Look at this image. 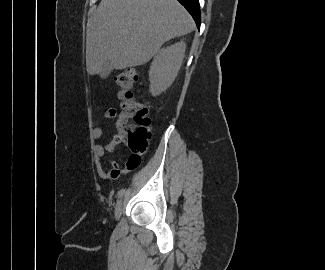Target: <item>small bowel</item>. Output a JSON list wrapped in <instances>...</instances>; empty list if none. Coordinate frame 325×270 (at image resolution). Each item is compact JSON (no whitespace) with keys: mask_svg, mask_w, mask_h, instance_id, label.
I'll return each instance as SVG.
<instances>
[{"mask_svg":"<svg viewBox=\"0 0 325 270\" xmlns=\"http://www.w3.org/2000/svg\"><path fill=\"white\" fill-rule=\"evenodd\" d=\"M116 116H117V110L115 108H110L104 114L103 119L105 121H108L115 118ZM102 134L103 131L100 127H95L92 130V138L94 140H100ZM118 144L119 141H117V139L114 138L111 142L105 145L96 144L93 148L94 155H95V168L98 176L102 179H108L109 177H118L119 174L122 173L123 171L134 169V168H129L127 166V163L126 166L123 167L117 161L105 160L106 153L113 152Z\"/></svg>","mask_w":325,"mask_h":270,"instance_id":"small-bowel-1","label":"small bowel"}]
</instances>
